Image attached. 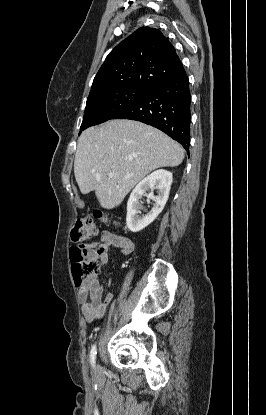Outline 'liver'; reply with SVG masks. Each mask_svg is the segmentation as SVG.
<instances>
[{
    "label": "liver",
    "instance_id": "6515ba94",
    "mask_svg": "<svg viewBox=\"0 0 266 415\" xmlns=\"http://www.w3.org/2000/svg\"><path fill=\"white\" fill-rule=\"evenodd\" d=\"M183 159L181 145L160 130L138 121L111 120L81 133L74 174L82 194L94 191L100 205L112 209L151 171L178 166ZM127 175L131 177L125 179Z\"/></svg>",
    "mask_w": 266,
    "mask_h": 415
}]
</instances>
